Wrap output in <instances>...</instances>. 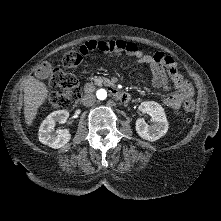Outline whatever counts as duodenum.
Here are the masks:
<instances>
[{
  "instance_id": "1",
  "label": "duodenum",
  "mask_w": 221,
  "mask_h": 221,
  "mask_svg": "<svg viewBox=\"0 0 221 221\" xmlns=\"http://www.w3.org/2000/svg\"><path fill=\"white\" fill-rule=\"evenodd\" d=\"M108 89H109L110 93L116 99H118L119 101H121L123 103H128L131 100V95L127 92L121 91V90H119L116 87L111 86V85L108 87ZM93 90H94V86L92 84H87L85 86V89H84L86 94L91 93Z\"/></svg>"
}]
</instances>
